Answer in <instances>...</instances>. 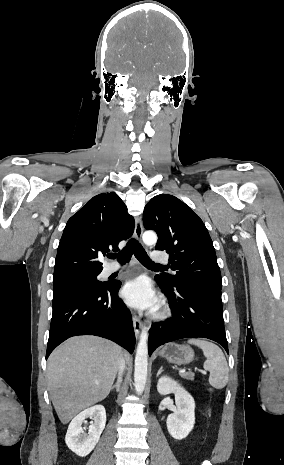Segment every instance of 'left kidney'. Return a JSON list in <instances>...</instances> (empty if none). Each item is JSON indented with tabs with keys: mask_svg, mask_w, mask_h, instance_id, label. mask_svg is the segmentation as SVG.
<instances>
[{
	"mask_svg": "<svg viewBox=\"0 0 284 465\" xmlns=\"http://www.w3.org/2000/svg\"><path fill=\"white\" fill-rule=\"evenodd\" d=\"M157 391L160 395L174 393L176 411L167 417V429L173 439H185L192 431L195 423V401L183 387L169 377H161Z\"/></svg>",
	"mask_w": 284,
	"mask_h": 465,
	"instance_id": "1",
	"label": "left kidney"
}]
</instances>
